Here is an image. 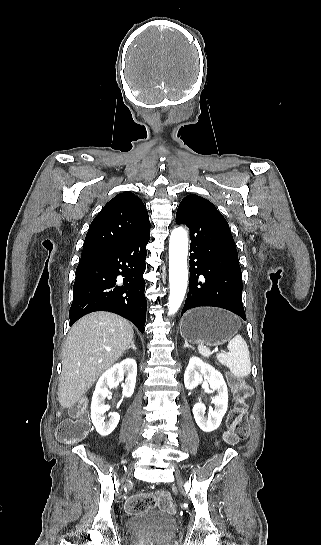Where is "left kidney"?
Masks as SVG:
<instances>
[{
  "mask_svg": "<svg viewBox=\"0 0 321 545\" xmlns=\"http://www.w3.org/2000/svg\"><path fill=\"white\" fill-rule=\"evenodd\" d=\"M207 381L213 391H217L216 397H211V403L215 405L214 411H210L208 419L205 417V405L196 403L193 407L194 419L204 433H212L221 425V421L228 407L227 385L219 371L214 367L203 363L198 357H191L189 365L184 373V385L188 391L198 387L202 381ZM212 393V391H209Z\"/></svg>",
  "mask_w": 321,
  "mask_h": 545,
  "instance_id": "5707ae66",
  "label": "left kidney"
}]
</instances>
